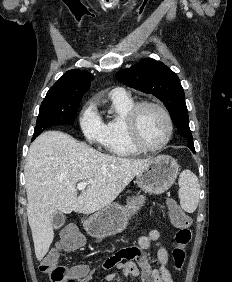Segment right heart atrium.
Segmentation results:
<instances>
[{
	"label": "right heart atrium",
	"mask_w": 232,
	"mask_h": 282,
	"mask_svg": "<svg viewBox=\"0 0 232 282\" xmlns=\"http://www.w3.org/2000/svg\"><path fill=\"white\" fill-rule=\"evenodd\" d=\"M79 124L83 135L89 142L102 143L104 123L93 104L86 105L82 110Z\"/></svg>",
	"instance_id": "obj_1"
}]
</instances>
